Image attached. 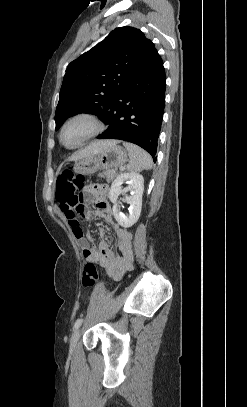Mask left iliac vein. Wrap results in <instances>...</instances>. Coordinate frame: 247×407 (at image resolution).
I'll return each instance as SVG.
<instances>
[{
	"mask_svg": "<svg viewBox=\"0 0 247 407\" xmlns=\"http://www.w3.org/2000/svg\"><path fill=\"white\" fill-rule=\"evenodd\" d=\"M79 336H80V329H77V330L72 334L71 339H70V346H71V348H75V347H76V345H77V343H78V340H79Z\"/></svg>",
	"mask_w": 247,
	"mask_h": 407,
	"instance_id": "4c4485c4",
	"label": "left iliac vein"
}]
</instances>
